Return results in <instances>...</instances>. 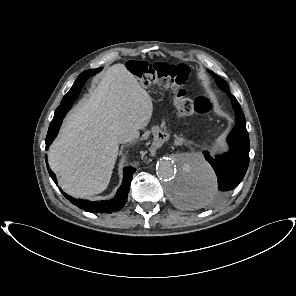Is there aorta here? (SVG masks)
Returning <instances> with one entry per match:
<instances>
[{
	"mask_svg": "<svg viewBox=\"0 0 296 296\" xmlns=\"http://www.w3.org/2000/svg\"><path fill=\"white\" fill-rule=\"evenodd\" d=\"M156 173L166 182L170 198L189 208H202L212 202L216 194L217 177L212 167L195 154H185L177 160L162 158Z\"/></svg>",
	"mask_w": 296,
	"mask_h": 296,
	"instance_id": "obj_1",
	"label": "aorta"
}]
</instances>
